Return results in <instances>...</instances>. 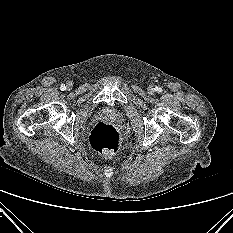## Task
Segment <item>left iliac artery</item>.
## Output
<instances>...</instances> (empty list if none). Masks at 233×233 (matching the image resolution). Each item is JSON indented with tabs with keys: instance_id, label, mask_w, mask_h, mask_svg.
<instances>
[{
	"instance_id": "1",
	"label": "left iliac artery",
	"mask_w": 233,
	"mask_h": 233,
	"mask_svg": "<svg viewBox=\"0 0 233 233\" xmlns=\"http://www.w3.org/2000/svg\"><path fill=\"white\" fill-rule=\"evenodd\" d=\"M156 91L160 93L162 92V89L160 87H156Z\"/></svg>"
}]
</instances>
